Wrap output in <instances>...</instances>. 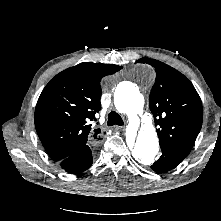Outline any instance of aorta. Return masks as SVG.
I'll list each match as a JSON object with an SVG mask.
<instances>
[{"mask_svg":"<svg viewBox=\"0 0 221 221\" xmlns=\"http://www.w3.org/2000/svg\"><path fill=\"white\" fill-rule=\"evenodd\" d=\"M142 78L153 79V69L148 65H140L136 69ZM114 104L118 112L134 117L141 114L144 106V97L137 87L125 82L114 93ZM159 152V140L152 120L147 119L138 131L136 142L132 149L133 157L142 164H151Z\"/></svg>","mask_w":221,"mask_h":221,"instance_id":"obj_1","label":"aorta"}]
</instances>
